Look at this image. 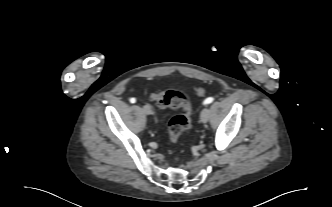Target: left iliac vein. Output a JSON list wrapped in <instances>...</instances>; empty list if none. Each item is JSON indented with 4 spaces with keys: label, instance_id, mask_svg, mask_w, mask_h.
Here are the masks:
<instances>
[{
    "label": "left iliac vein",
    "instance_id": "4c4485c4",
    "mask_svg": "<svg viewBox=\"0 0 332 207\" xmlns=\"http://www.w3.org/2000/svg\"><path fill=\"white\" fill-rule=\"evenodd\" d=\"M209 116H210V110L207 107H205L200 114L201 122L206 123L209 119Z\"/></svg>",
    "mask_w": 332,
    "mask_h": 207
}]
</instances>
